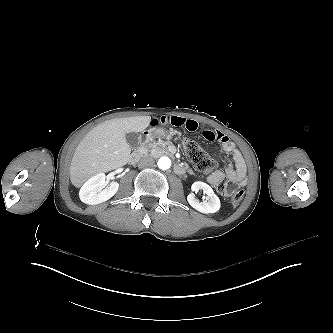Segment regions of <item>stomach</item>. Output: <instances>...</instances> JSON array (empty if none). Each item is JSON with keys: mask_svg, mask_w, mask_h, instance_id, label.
Masks as SVG:
<instances>
[{"mask_svg": "<svg viewBox=\"0 0 333 333\" xmlns=\"http://www.w3.org/2000/svg\"><path fill=\"white\" fill-rule=\"evenodd\" d=\"M168 136L169 132L163 127L150 128L142 133L143 142L153 141L158 137L166 138Z\"/></svg>", "mask_w": 333, "mask_h": 333, "instance_id": "0dacf381", "label": "stomach"}]
</instances>
